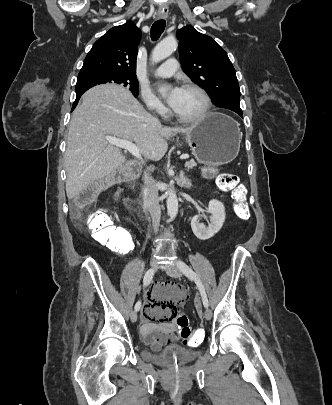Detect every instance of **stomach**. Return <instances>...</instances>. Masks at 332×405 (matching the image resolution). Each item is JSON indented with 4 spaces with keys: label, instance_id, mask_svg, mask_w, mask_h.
Instances as JSON below:
<instances>
[{
    "label": "stomach",
    "instance_id": "stomach-1",
    "mask_svg": "<svg viewBox=\"0 0 332 405\" xmlns=\"http://www.w3.org/2000/svg\"><path fill=\"white\" fill-rule=\"evenodd\" d=\"M185 140L194 157L208 168L204 174L215 176L216 167L233 161L239 153L241 133L238 124L221 113H208L187 132Z\"/></svg>",
    "mask_w": 332,
    "mask_h": 405
}]
</instances>
